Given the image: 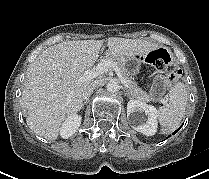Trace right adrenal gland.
I'll use <instances>...</instances> for the list:
<instances>
[{
  "label": "right adrenal gland",
  "mask_w": 209,
  "mask_h": 179,
  "mask_svg": "<svg viewBox=\"0 0 209 179\" xmlns=\"http://www.w3.org/2000/svg\"><path fill=\"white\" fill-rule=\"evenodd\" d=\"M85 104H87V101L84 102L83 106H84ZM83 106H82V107H83Z\"/></svg>",
  "instance_id": "2a0ac1e0"
}]
</instances>
